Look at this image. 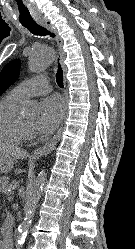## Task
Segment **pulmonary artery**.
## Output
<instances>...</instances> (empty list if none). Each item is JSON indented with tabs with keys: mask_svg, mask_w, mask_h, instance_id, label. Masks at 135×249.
Listing matches in <instances>:
<instances>
[{
	"mask_svg": "<svg viewBox=\"0 0 135 249\" xmlns=\"http://www.w3.org/2000/svg\"><path fill=\"white\" fill-rule=\"evenodd\" d=\"M51 85L44 76H36L23 81L13 88L12 92L22 100L45 94L51 91Z\"/></svg>",
	"mask_w": 135,
	"mask_h": 249,
	"instance_id": "pulmonary-artery-1",
	"label": "pulmonary artery"
}]
</instances>
